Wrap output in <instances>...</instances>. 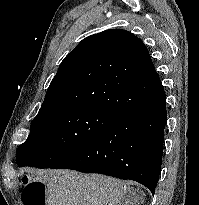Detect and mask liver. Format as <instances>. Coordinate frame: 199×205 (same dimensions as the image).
Here are the masks:
<instances>
[{
	"label": "liver",
	"mask_w": 199,
	"mask_h": 205,
	"mask_svg": "<svg viewBox=\"0 0 199 205\" xmlns=\"http://www.w3.org/2000/svg\"><path fill=\"white\" fill-rule=\"evenodd\" d=\"M38 179L47 188L48 205H129L137 195L128 183L98 174L46 170Z\"/></svg>",
	"instance_id": "1"
}]
</instances>
